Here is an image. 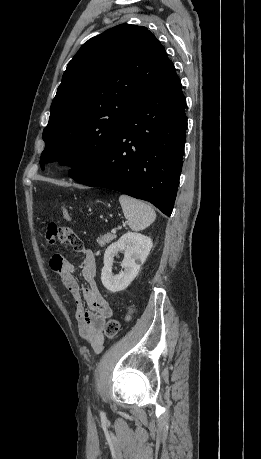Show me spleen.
I'll use <instances>...</instances> for the list:
<instances>
[{
	"label": "spleen",
	"mask_w": 261,
	"mask_h": 459,
	"mask_svg": "<svg viewBox=\"0 0 261 459\" xmlns=\"http://www.w3.org/2000/svg\"><path fill=\"white\" fill-rule=\"evenodd\" d=\"M119 202L127 224L133 231L144 230L156 219V213L152 207L140 200L123 194L119 197Z\"/></svg>",
	"instance_id": "obj_1"
}]
</instances>
